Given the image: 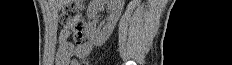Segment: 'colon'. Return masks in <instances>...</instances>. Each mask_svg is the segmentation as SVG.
Masks as SVG:
<instances>
[{"label": "colon", "instance_id": "obj_1", "mask_svg": "<svg viewBox=\"0 0 232 65\" xmlns=\"http://www.w3.org/2000/svg\"><path fill=\"white\" fill-rule=\"evenodd\" d=\"M60 24L65 30H71L74 33V39L79 42L82 39V16L73 6H67L63 9L60 16Z\"/></svg>", "mask_w": 232, "mask_h": 65}]
</instances>
